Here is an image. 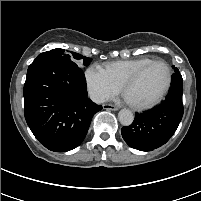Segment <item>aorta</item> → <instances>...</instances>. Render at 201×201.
Listing matches in <instances>:
<instances>
[{"instance_id":"obj_1","label":"aorta","mask_w":201,"mask_h":201,"mask_svg":"<svg viewBox=\"0 0 201 201\" xmlns=\"http://www.w3.org/2000/svg\"><path fill=\"white\" fill-rule=\"evenodd\" d=\"M118 118L120 123L123 126H129L132 124L133 120H134V115L133 113L128 110V109H122L119 111L118 113Z\"/></svg>"}]
</instances>
